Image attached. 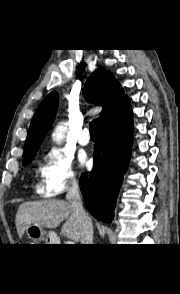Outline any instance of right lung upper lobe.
I'll return each instance as SVG.
<instances>
[{
    "instance_id": "right-lung-upper-lobe-1",
    "label": "right lung upper lobe",
    "mask_w": 180,
    "mask_h": 294,
    "mask_svg": "<svg viewBox=\"0 0 180 294\" xmlns=\"http://www.w3.org/2000/svg\"><path fill=\"white\" fill-rule=\"evenodd\" d=\"M83 92L89 102L103 107L100 113L101 120L128 100L113 74L103 68H98L92 73ZM57 106L56 92L47 95L39 105L29 128L23 160L35 156L55 119Z\"/></svg>"
}]
</instances>
